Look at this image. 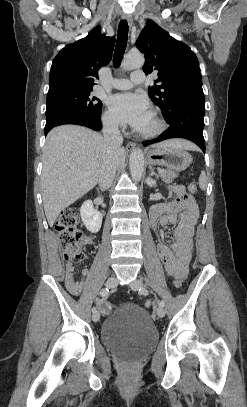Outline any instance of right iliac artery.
<instances>
[{"mask_svg": "<svg viewBox=\"0 0 247 407\" xmlns=\"http://www.w3.org/2000/svg\"><path fill=\"white\" fill-rule=\"evenodd\" d=\"M109 294H110L109 287L103 288V289L100 291V295H101L102 297H107ZM96 311H97V309H96L95 307H93V308H92V312L94 313V312H96Z\"/></svg>", "mask_w": 247, "mask_h": 407, "instance_id": "right-iliac-artery-1", "label": "right iliac artery"}]
</instances>
